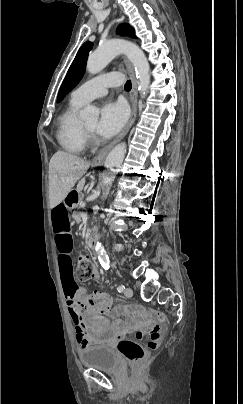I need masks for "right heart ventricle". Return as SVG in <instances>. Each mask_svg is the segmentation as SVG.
Instances as JSON below:
<instances>
[{"instance_id":"right-heart-ventricle-1","label":"right heart ventricle","mask_w":243,"mask_h":404,"mask_svg":"<svg viewBox=\"0 0 243 404\" xmlns=\"http://www.w3.org/2000/svg\"><path fill=\"white\" fill-rule=\"evenodd\" d=\"M103 46L100 44L96 52ZM85 103L74 90L68 105L57 119L56 142L63 152L70 155H83L88 148V138L83 134L80 128L81 121L78 119V112Z\"/></svg>"}]
</instances>
